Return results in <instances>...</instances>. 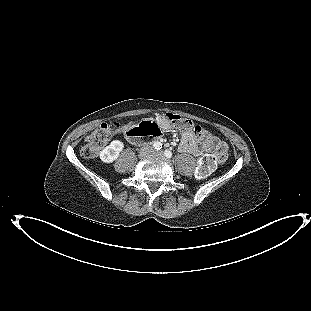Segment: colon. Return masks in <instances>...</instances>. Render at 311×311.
Instances as JSON below:
<instances>
[{
	"label": "colon",
	"instance_id": "obj_1",
	"mask_svg": "<svg viewBox=\"0 0 311 311\" xmlns=\"http://www.w3.org/2000/svg\"><path fill=\"white\" fill-rule=\"evenodd\" d=\"M168 121L183 132H191L195 139L202 144L207 153L200 159L196 168V176L204 178L208 176L217 164H223L227 160V147L218 138L214 137L201 126L195 125L191 120L182 118L171 113L165 114ZM123 124L120 122L103 123L94 129L85 140L80 149V154L84 158H94L99 151L108 143L113 134L120 132ZM130 134L139 136H158L159 129L155 125L150 127H139L132 129Z\"/></svg>",
	"mask_w": 311,
	"mask_h": 311
}]
</instances>
